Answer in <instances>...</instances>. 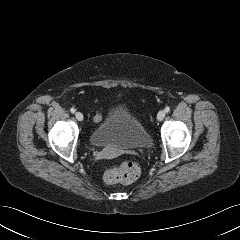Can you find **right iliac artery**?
I'll return each mask as SVG.
<instances>
[{
    "label": "right iliac artery",
    "mask_w": 240,
    "mask_h": 240,
    "mask_svg": "<svg viewBox=\"0 0 240 240\" xmlns=\"http://www.w3.org/2000/svg\"><path fill=\"white\" fill-rule=\"evenodd\" d=\"M70 111H71V113H75V109L74 108H71Z\"/></svg>",
    "instance_id": "obj_1"
}]
</instances>
